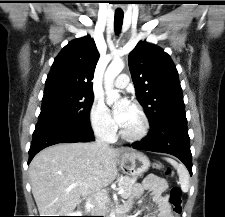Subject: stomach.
<instances>
[{
	"instance_id": "stomach-1",
	"label": "stomach",
	"mask_w": 225,
	"mask_h": 217,
	"mask_svg": "<svg viewBox=\"0 0 225 217\" xmlns=\"http://www.w3.org/2000/svg\"><path fill=\"white\" fill-rule=\"evenodd\" d=\"M119 164L122 171L130 176L136 177L147 171L150 167V161L146 155L141 152L130 151L121 154Z\"/></svg>"
}]
</instances>
